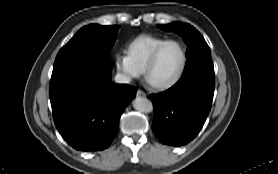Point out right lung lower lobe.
I'll return each instance as SVG.
<instances>
[{"mask_svg": "<svg viewBox=\"0 0 278 174\" xmlns=\"http://www.w3.org/2000/svg\"><path fill=\"white\" fill-rule=\"evenodd\" d=\"M136 92L129 85L112 83L110 72L82 66L62 68L52 73L49 88L55 125L75 149H105Z\"/></svg>", "mask_w": 278, "mask_h": 174, "instance_id": "obj_1", "label": "right lung lower lobe"}]
</instances>
